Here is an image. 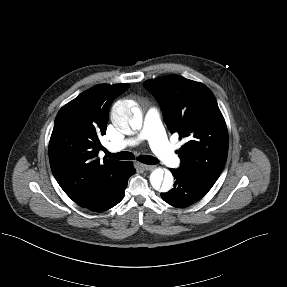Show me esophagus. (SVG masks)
<instances>
[{"instance_id": "1", "label": "esophagus", "mask_w": 287, "mask_h": 287, "mask_svg": "<svg viewBox=\"0 0 287 287\" xmlns=\"http://www.w3.org/2000/svg\"><path fill=\"white\" fill-rule=\"evenodd\" d=\"M143 169L146 170V171H151V170H154L156 168V166L154 165H142Z\"/></svg>"}]
</instances>
